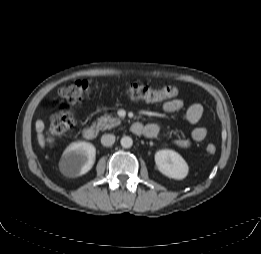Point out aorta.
Here are the masks:
<instances>
[{"mask_svg":"<svg viewBox=\"0 0 261 254\" xmlns=\"http://www.w3.org/2000/svg\"><path fill=\"white\" fill-rule=\"evenodd\" d=\"M120 143L123 148H130L133 145V140L129 136H124L121 138Z\"/></svg>","mask_w":261,"mask_h":254,"instance_id":"obj_1","label":"aorta"}]
</instances>
